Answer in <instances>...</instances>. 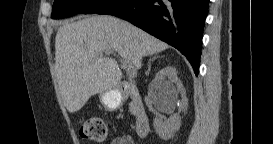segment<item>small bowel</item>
Masks as SVG:
<instances>
[{
    "label": "small bowel",
    "instance_id": "obj_1",
    "mask_svg": "<svg viewBox=\"0 0 273 144\" xmlns=\"http://www.w3.org/2000/svg\"><path fill=\"white\" fill-rule=\"evenodd\" d=\"M112 144H131L132 143V139L130 136L127 135H123V136H118L116 138H114L111 141Z\"/></svg>",
    "mask_w": 273,
    "mask_h": 144
}]
</instances>
